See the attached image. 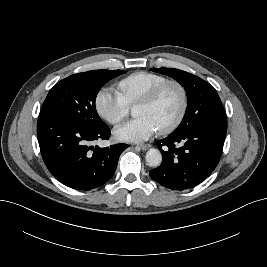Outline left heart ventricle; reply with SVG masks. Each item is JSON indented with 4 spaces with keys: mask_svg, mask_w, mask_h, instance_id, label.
<instances>
[{
    "mask_svg": "<svg viewBox=\"0 0 267 267\" xmlns=\"http://www.w3.org/2000/svg\"><path fill=\"white\" fill-rule=\"evenodd\" d=\"M180 107V91L176 86L170 85L162 91L153 104L137 105L135 115L147 116L159 130L168 126L176 118Z\"/></svg>",
    "mask_w": 267,
    "mask_h": 267,
    "instance_id": "b2bd125f",
    "label": "left heart ventricle"
}]
</instances>
